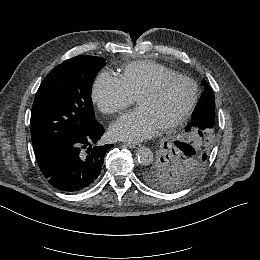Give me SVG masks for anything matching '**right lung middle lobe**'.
I'll return each mask as SVG.
<instances>
[{"label": "right lung middle lobe", "mask_w": 260, "mask_h": 260, "mask_svg": "<svg viewBox=\"0 0 260 260\" xmlns=\"http://www.w3.org/2000/svg\"><path fill=\"white\" fill-rule=\"evenodd\" d=\"M105 59L80 55L50 71L41 83L31 111L35 156L75 142L97 122L91 86Z\"/></svg>", "instance_id": "right-lung-middle-lobe-1"}]
</instances>
